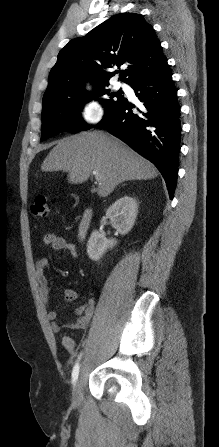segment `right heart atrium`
<instances>
[{"label": "right heart atrium", "instance_id": "right-heart-atrium-1", "mask_svg": "<svg viewBox=\"0 0 219 447\" xmlns=\"http://www.w3.org/2000/svg\"><path fill=\"white\" fill-rule=\"evenodd\" d=\"M105 114V110L100 104L89 103L79 109L78 116L83 125L93 127L103 121Z\"/></svg>", "mask_w": 219, "mask_h": 447}]
</instances>
